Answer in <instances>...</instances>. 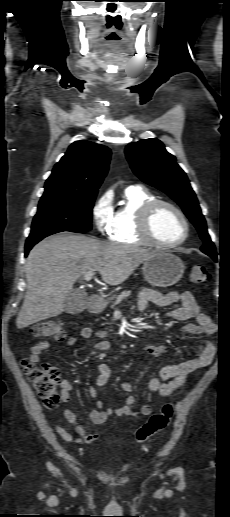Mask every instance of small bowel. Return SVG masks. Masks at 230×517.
<instances>
[{
    "label": "small bowel",
    "mask_w": 230,
    "mask_h": 517,
    "mask_svg": "<svg viewBox=\"0 0 230 517\" xmlns=\"http://www.w3.org/2000/svg\"><path fill=\"white\" fill-rule=\"evenodd\" d=\"M150 303H154L158 306H170L176 303L180 305L177 308L169 311L166 316L175 321H186L194 319L195 322L185 323L181 331L184 334L197 335L202 334L205 336H214L217 331V325L210 319V317L201 312L195 297L190 292H170V293H159L154 290L145 289L142 290L138 297V308L140 311H144ZM107 334L106 332L100 331L95 332L90 327H84L80 330V337L86 340L93 341V348L98 351H108L111 349V344L108 341L102 340ZM67 346H73L76 344L77 336H68L65 339ZM50 347L48 341H40L31 348L29 359L38 363L41 360L42 353ZM147 353L154 359L168 353V348L162 343L150 344L146 348ZM216 354V344L213 341H207L198 345L195 356L182 362L180 364L168 365L161 369L159 377L152 378L149 381V390L151 393H156L163 397L171 396L178 388H180L187 380V377L195 370L206 367L212 363ZM111 374V369L108 364L101 363L98 365V376L95 381V386H89V395L92 398L97 397V387H103L108 382ZM62 393L61 398L63 402H67L73 391V385L70 381L64 379L61 382ZM134 381L124 380L121 383V389L125 392H131L133 390ZM136 399L134 396L129 395L125 399V404L120 407H108L105 408L102 400H97L96 408L91 411L89 418L93 424L100 425L106 422L108 417L112 414L117 416H127L132 418H139L142 416H148L152 412L150 405L145 404L139 409H134ZM63 416L65 420L74 427L78 438L74 436L60 424L55 425L56 432L58 435L67 443L91 444L98 440L99 435L88 431L78 421L76 413L66 408L63 410Z\"/></svg>",
    "instance_id": "small-bowel-1"
}]
</instances>
